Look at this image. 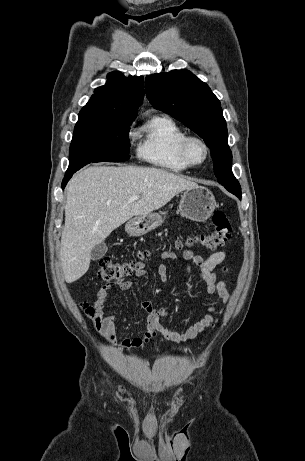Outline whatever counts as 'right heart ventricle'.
<instances>
[{"label": "right heart ventricle", "instance_id": "obj_1", "mask_svg": "<svg viewBox=\"0 0 305 461\" xmlns=\"http://www.w3.org/2000/svg\"><path fill=\"white\" fill-rule=\"evenodd\" d=\"M138 156L144 161L172 172H181L190 166L180 152L186 131L165 115L151 117L139 130Z\"/></svg>", "mask_w": 305, "mask_h": 461}]
</instances>
